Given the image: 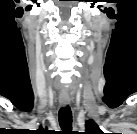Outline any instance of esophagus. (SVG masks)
Returning a JSON list of instances; mask_svg holds the SVG:
<instances>
[{
	"instance_id": "obj_1",
	"label": "esophagus",
	"mask_w": 137,
	"mask_h": 134,
	"mask_svg": "<svg viewBox=\"0 0 137 134\" xmlns=\"http://www.w3.org/2000/svg\"><path fill=\"white\" fill-rule=\"evenodd\" d=\"M59 101L63 107L70 104V98L68 96H60Z\"/></svg>"
}]
</instances>
